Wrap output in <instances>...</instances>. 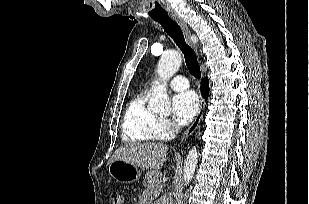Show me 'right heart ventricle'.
I'll return each instance as SVG.
<instances>
[{
  "mask_svg": "<svg viewBox=\"0 0 309 204\" xmlns=\"http://www.w3.org/2000/svg\"><path fill=\"white\" fill-rule=\"evenodd\" d=\"M159 118L146 106L143 95L136 96L128 105L122 123V138L128 143H142L157 139Z\"/></svg>",
  "mask_w": 309,
  "mask_h": 204,
  "instance_id": "1",
  "label": "right heart ventricle"
}]
</instances>
